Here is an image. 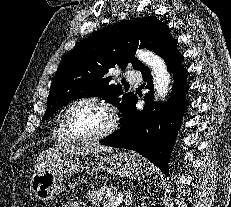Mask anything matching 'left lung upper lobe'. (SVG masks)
I'll return each mask as SVG.
<instances>
[{
	"mask_svg": "<svg viewBox=\"0 0 231 207\" xmlns=\"http://www.w3.org/2000/svg\"><path fill=\"white\" fill-rule=\"evenodd\" d=\"M174 41L168 25L153 16L123 20L84 39L62 59L51 84L43 120L74 99L92 96L102 97L124 115L136 96L123 95L122 86L110 85L108 70L115 66L124 69L131 63L141 71L145 65L133 53L137 46L161 56Z\"/></svg>",
	"mask_w": 231,
	"mask_h": 207,
	"instance_id": "1",
	"label": "left lung upper lobe"
}]
</instances>
